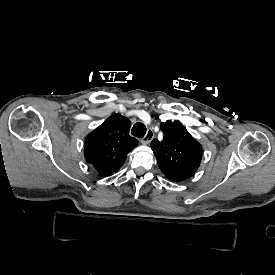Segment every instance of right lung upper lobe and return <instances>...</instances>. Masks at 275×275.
Masks as SVG:
<instances>
[{
  "label": "right lung upper lobe",
  "mask_w": 275,
  "mask_h": 275,
  "mask_svg": "<svg viewBox=\"0 0 275 275\" xmlns=\"http://www.w3.org/2000/svg\"><path fill=\"white\" fill-rule=\"evenodd\" d=\"M131 122L113 114L85 139L84 156L101 176L117 172L138 140L129 135Z\"/></svg>",
  "instance_id": "cb5924a9"
}]
</instances>
